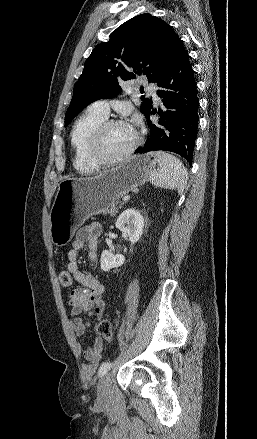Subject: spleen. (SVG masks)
<instances>
[{"instance_id":"spleen-1","label":"spleen","mask_w":257,"mask_h":439,"mask_svg":"<svg viewBox=\"0 0 257 439\" xmlns=\"http://www.w3.org/2000/svg\"><path fill=\"white\" fill-rule=\"evenodd\" d=\"M155 157L158 168L151 171L150 182L156 187L176 189L182 194L188 179L184 165L178 158L163 151L156 152Z\"/></svg>"}]
</instances>
